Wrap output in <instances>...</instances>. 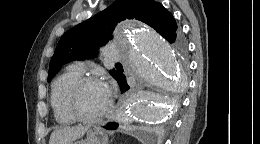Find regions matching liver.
<instances>
[{
	"label": "liver",
	"mask_w": 260,
	"mask_h": 144,
	"mask_svg": "<svg viewBox=\"0 0 260 144\" xmlns=\"http://www.w3.org/2000/svg\"><path fill=\"white\" fill-rule=\"evenodd\" d=\"M88 129L89 127L86 126L60 127L52 132L49 144H72L75 140L81 138Z\"/></svg>",
	"instance_id": "obj_1"
}]
</instances>
